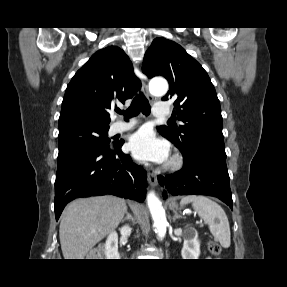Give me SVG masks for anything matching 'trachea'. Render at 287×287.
Returning a JSON list of instances; mask_svg holds the SVG:
<instances>
[{"instance_id": "trachea-1", "label": "trachea", "mask_w": 287, "mask_h": 287, "mask_svg": "<svg viewBox=\"0 0 287 287\" xmlns=\"http://www.w3.org/2000/svg\"><path fill=\"white\" fill-rule=\"evenodd\" d=\"M150 104L147 98L142 94H138L134 100L132 101L130 107L125 111L121 112L120 110H116L117 113L123 114L126 118L135 117L137 116L140 111L146 116L150 114Z\"/></svg>"}]
</instances>
